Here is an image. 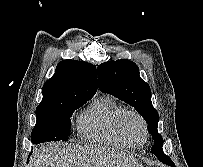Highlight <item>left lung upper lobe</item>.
<instances>
[{"mask_svg":"<svg viewBox=\"0 0 203 167\" xmlns=\"http://www.w3.org/2000/svg\"><path fill=\"white\" fill-rule=\"evenodd\" d=\"M98 85L102 92L131 105L145 119L148 132L155 140L151 151L158 157L156 151L163 146L162 136L157 131L159 116L151 102V89L139 76L138 66L129 60L102 63L98 66Z\"/></svg>","mask_w":203,"mask_h":167,"instance_id":"left-lung-upper-lobe-1","label":"left lung upper lobe"}]
</instances>
